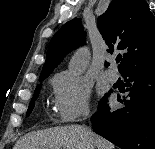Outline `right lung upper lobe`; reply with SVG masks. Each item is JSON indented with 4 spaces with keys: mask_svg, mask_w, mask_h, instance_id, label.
Instances as JSON below:
<instances>
[{
    "mask_svg": "<svg viewBox=\"0 0 155 149\" xmlns=\"http://www.w3.org/2000/svg\"><path fill=\"white\" fill-rule=\"evenodd\" d=\"M97 25L108 52L126 51L119 65L121 74L131 67L155 63V18L145 0H112L107 11L98 17ZM84 40L79 18L64 24L49 43L40 78L48 77L64 56Z\"/></svg>",
    "mask_w": 155,
    "mask_h": 149,
    "instance_id": "cb5924a9",
    "label": "right lung upper lobe"
}]
</instances>
